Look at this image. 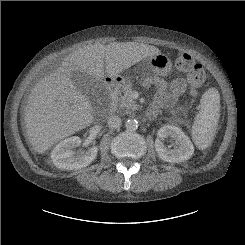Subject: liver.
Returning <instances> with one entry per match:
<instances>
[{"label":"liver","instance_id":"liver-1","mask_svg":"<svg viewBox=\"0 0 245 245\" xmlns=\"http://www.w3.org/2000/svg\"><path fill=\"white\" fill-rule=\"evenodd\" d=\"M161 53L137 42L95 43L73 51L56 71L32 90L24 110L26 135L34 150L45 153L55 143L90 126L94 110L88 97L76 89L73 71L100 82L105 72L117 77L131 66Z\"/></svg>","mask_w":245,"mask_h":245}]
</instances>
